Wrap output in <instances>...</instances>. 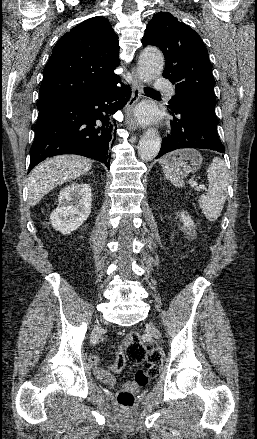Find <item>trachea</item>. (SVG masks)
<instances>
[{
  "label": "trachea",
  "mask_w": 257,
  "mask_h": 439,
  "mask_svg": "<svg viewBox=\"0 0 257 439\" xmlns=\"http://www.w3.org/2000/svg\"><path fill=\"white\" fill-rule=\"evenodd\" d=\"M144 90H145V92L157 93L156 91H154V90L151 89V88H145Z\"/></svg>",
  "instance_id": "1"
}]
</instances>
